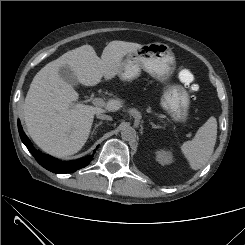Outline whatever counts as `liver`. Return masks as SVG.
Returning a JSON list of instances; mask_svg holds the SVG:
<instances>
[{"label":"liver","mask_w":245,"mask_h":245,"mask_svg":"<svg viewBox=\"0 0 245 245\" xmlns=\"http://www.w3.org/2000/svg\"><path fill=\"white\" fill-rule=\"evenodd\" d=\"M141 46L111 41L99 58L86 44L46 64L33 78L23 106L28 133L37 146L56 157L73 155L86 143L97 112H116L122 107L116 99H109L105 109L77 103L79 95L59 76L60 67H70L83 86H95L103 78L109 81L119 75L124 57Z\"/></svg>","instance_id":"obj_1"}]
</instances>
